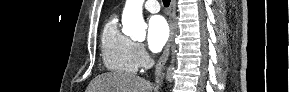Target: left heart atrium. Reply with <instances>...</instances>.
<instances>
[{"label": "left heart atrium", "instance_id": "obj_1", "mask_svg": "<svg viewBox=\"0 0 289 92\" xmlns=\"http://www.w3.org/2000/svg\"><path fill=\"white\" fill-rule=\"evenodd\" d=\"M169 37V26L164 17L156 15L149 19L147 45L152 52L160 51Z\"/></svg>", "mask_w": 289, "mask_h": 92}]
</instances>
